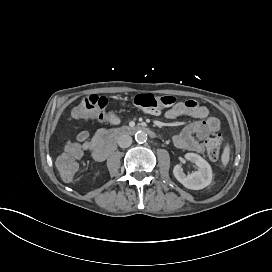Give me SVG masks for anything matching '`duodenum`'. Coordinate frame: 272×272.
<instances>
[{"mask_svg":"<svg viewBox=\"0 0 272 272\" xmlns=\"http://www.w3.org/2000/svg\"><path fill=\"white\" fill-rule=\"evenodd\" d=\"M146 132L151 136H155V133L145 126H133V127H121L111 130H102L100 133L99 141L94 150L92 151V157L96 161H104L107 156L114 150L116 141L123 135H131L137 132Z\"/></svg>","mask_w":272,"mask_h":272,"instance_id":"duodenum-1","label":"duodenum"}]
</instances>
